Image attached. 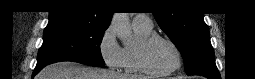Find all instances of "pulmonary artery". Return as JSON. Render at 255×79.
<instances>
[{
    "mask_svg": "<svg viewBox=\"0 0 255 79\" xmlns=\"http://www.w3.org/2000/svg\"><path fill=\"white\" fill-rule=\"evenodd\" d=\"M133 26H139L143 28H152V22L145 14H138L133 18Z\"/></svg>",
    "mask_w": 255,
    "mask_h": 79,
    "instance_id": "1",
    "label": "pulmonary artery"
}]
</instances>
